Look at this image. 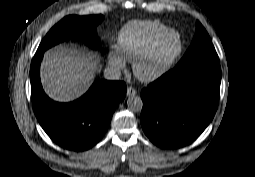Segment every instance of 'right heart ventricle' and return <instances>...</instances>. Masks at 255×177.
<instances>
[{
	"label": "right heart ventricle",
	"mask_w": 255,
	"mask_h": 177,
	"mask_svg": "<svg viewBox=\"0 0 255 177\" xmlns=\"http://www.w3.org/2000/svg\"><path fill=\"white\" fill-rule=\"evenodd\" d=\"M168 29L159 21H133L124 26L119 34V45L123 55L134 61L137 55L159 33Z\"/></svg>",
	"instance_id": "1"
}]
</instances>
